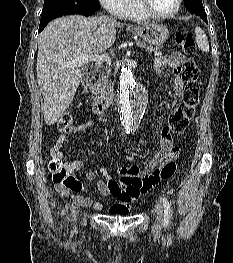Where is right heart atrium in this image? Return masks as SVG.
Instances as JSON below:
<instances>
[{"label":"right heart atrium","mask_w":233,"mask_h":263,"mask_svg":"<svg viewBox=\"0 0 233 263\" xmlns=\"http://www.w3.org/2000/svg\"><path fill=\"white\" fill-rule=\"evenodd\" d=\"M99 2L112 14H117L124 0H99Z\"/></svg>","instance_id":"1"}]
</instances>
